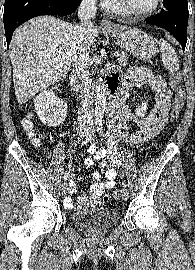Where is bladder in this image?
Returning a JSON list of instances; mask_svg holds the SVG:
<instances>
[{
    "mask_svg": "<svg viewBox=\"0 0 195 270\" xmlns=\"http://www.w3.org/2000/svg\"><path fill=\"white\" fill-rule=\"evenodd\" d=\"M71 219L73 224L80 229L101 233L118 223L119 212L113 207L93 205L75 211Z\"/></svg>",
    "mask_w": 195,
    "mask_h": 270,
    "instance_id": "1",
    "label": "bladder"
}]
</instances>
